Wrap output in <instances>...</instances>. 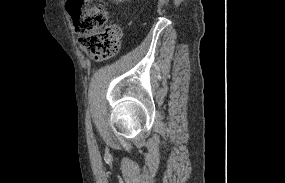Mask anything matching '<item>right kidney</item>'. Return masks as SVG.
Wrapping results in <instances>:
<instances>
[{
	"label": "right kidney",
	"instance_id": "ca27d5eb",
	"mask_svg": "<svg viewBox=\"0 0 285 183\" xmlns=\"http://www.w3.org/2000/svg\"><path fill=\"white\" fill-rule=\"evenodd\" d=\"M123 1H125V0H113V2H115V3H120V2H123Z\"/></svg>",
	"mask_w": 285,
	"mask_h": 183
}]
</instances>
